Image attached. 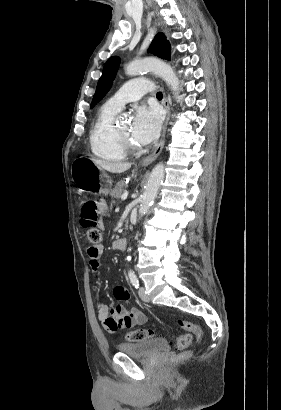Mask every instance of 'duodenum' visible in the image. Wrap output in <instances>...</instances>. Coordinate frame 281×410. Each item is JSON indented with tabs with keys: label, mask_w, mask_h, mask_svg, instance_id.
<instances>
[{
	"label": "duodenum",
	"mask_w": 281,
	"mask_h": 410,
	"mask_svg": "<svg viewBox=\"0 0 281 410\" xmlns=\"http://www.w3.org/2000/svg\"><path fill=\"white\" fill-rule=\"evenodd\" d=\"M126 246V240L124 238H118L114 242V247L118 250H123Z\"/></svg>",
	"instance_id": "duodenum-1"
}]
</instances>
